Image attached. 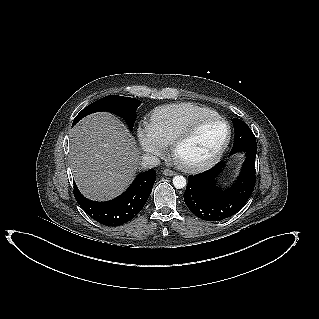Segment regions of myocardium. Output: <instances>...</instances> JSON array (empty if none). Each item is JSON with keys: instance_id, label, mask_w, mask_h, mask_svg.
<instances>
[{"instance_id": "f54148a6", "label": "myocardium", "mask_w": 319, "mask_h": 319, "mask_svg": "<svg viewBox=\"0 0 319 319\" xmlns=\"http://www.w3.org/2000/svg\"><path fill=\"white\" fill-rule=\"evenodd\" d=\"M211 120H218L222 122L225 125L226 128V135L221 143V145L218 147V149L206 160L195 162V163H188L180 160L177 156L178 148L185 143L187 140H189L193 134L196 132V130L205 122L211 121ZM232 136V130L229 122L219 114H211L202 116L199 118L194 119L192 122H190L171 142V156L174 160V162L183 170L187 172H200L203 170H206L210 167H212L214 164H216L221 157L223 156L224 152L226 151L230 140Z\"/></svg>"}]
</instances>
